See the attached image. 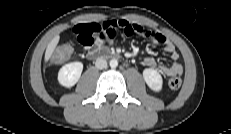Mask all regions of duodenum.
Listing matches in <instances>:
<instances>
[{"label": "duodenum", "instance_id": "1", "mask_svg": "<svg viewBox=\"0 0 231 134\" xmlns=\"http://www.w3.org/2000/svg\"><path fill=\"white\" fill-rule=\"evenodd\" d=\"M118 55L115 54L114 52L110 51L107 48H96L94 50H92L89 54H88V58L90 60H97V59H101V58H107V57H117Z\"/></svg>", "mask_w": 231, "mask_h": 134}]
</instances>
